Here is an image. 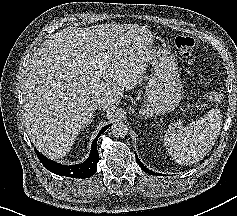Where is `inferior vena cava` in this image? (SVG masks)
Wrapping results in <instances>:
<instances>
[{"label":"inferior vena cava","mask_w":237,"mask_h":216,"mask_svg":"<svg viewBox=\"0 0 237 216\" xmlns=\"http://www.w3.org/2000/svg\"><path fill=\"white\" fill-rule=\"evenodd\" d=\"M95 109H99L102 111H115L117 105H115L114 103H111L110 101H107L105 99H100L96 102V104L94 105Z\"/></svg>","instance_id":"inferior-vena-cava-1"}]
</instances>
